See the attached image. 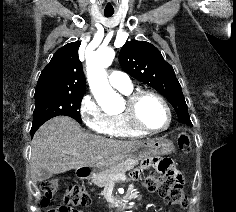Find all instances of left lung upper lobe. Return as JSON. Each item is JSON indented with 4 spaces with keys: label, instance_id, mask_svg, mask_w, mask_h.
I'll list each match as a JSON object with an SVG mask.
<instances>
[{
    "label": "left lung upper lobe",
    "instance_id": "obj_1",
    "mask_svg": "<svg viewBox=\"0 0 236 212\" xmlns=\"http://www.w3.org/2000/svg\"><path fill=\"white\" fill-rule=\"evenodd\" d=\"M119 63L130 76L164 95L174 107L178 121L192 125L174 70L154 45L135 39L126 42L119 53Z\"/></svg>",
    "mask_w": 236,
    "mask_h": 212
}]
</instances>
